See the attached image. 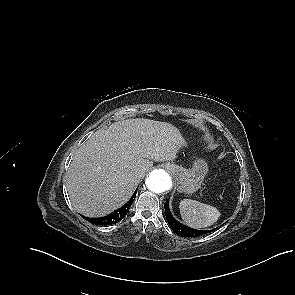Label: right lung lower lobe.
Returning <instances> with one entry per match:
<instances>
[{
	"label": "right lung lower lobe",
	"instance_id": "1",
	"mask_svg": "<svg viewBox=\"0 0 295 295\" xmlns=\"http://www.w3.org/2000/svg\"><path fill=\"white\" fill-rule=\"evenodd\" d=\"M137 189L135 190V192L132 195V197L130 198V200L119 210H117L105 217H100V218H87L84 216H82V217L85 220H87L88 222L93 223L95 225H111V224L117 223L118 221L123 219L125 217V215L127 214V212L129 211V209L136 197Z\"/></svg>",
	"mask_w": 295,
	"mask_h": 295
}]
</instances>
